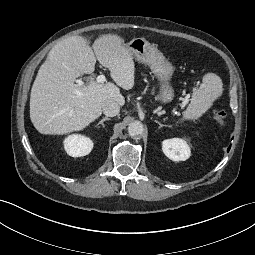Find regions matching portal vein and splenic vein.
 <instances>
[{"mask_svg":"<svg viewBox=\"0 0 255 255\" xmlns=\"http://www.w3.org/2000/svg\"><path fill=\"white\" fill-rule=\"evenodd\" d=\"M105 80H106V77H105V75H103V74L97 76V78H96V81H97L98 83H104ZM76 83H77L78 86H82V85L84 84V82H83L81 79H77V80H76Z\"/></svg>","mask_w":255,"mask_h":255,"instance_id":"1","label":"portal vein and splenic vein"}]
</instances>
